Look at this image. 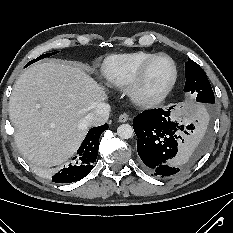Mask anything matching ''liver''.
<instances>
[{"label":"liver","mask_w":233,"mask_h":233,"mask_svg":"<svg viewBox=\"0 0 233 233\" xmlns=\"http://www.w3.org/2000/svg\"><path fill=\"white\" fill-rule=\"evenodd\" d=\"M105 99L104 88L83 65L34 64L15 82L9 100L17 147L39 167L65 162L88 131L86 116Z\"/></svg>","instance_id":"liver-1"}]
</instances>
